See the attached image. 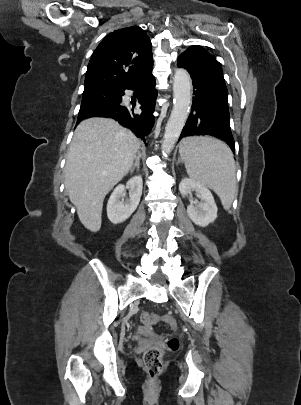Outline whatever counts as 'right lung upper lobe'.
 I'll use <instances>...</instances> for the list:
<instances>
[{"label": "right lung upper lobe", "mask_w": 301, "mask_h": 405, "mask_svg": "<svg viewBox=\"0 0 301 405\" xmlns=\"http://www.w3.org/2000/svg\"><path fill=\"white\" fill-rule=\"evenodd\" d=\"M153 66L150 38L138 26L108 34L93 52L84 90L110 88L123 91Z\"/></svg>", "instance_id": "obj_1"}]
</instances>
